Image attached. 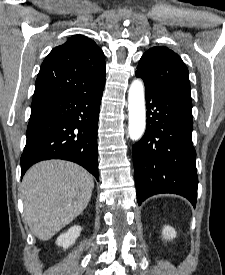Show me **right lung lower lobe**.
<instances>
[{
  "instance_id": "obj_1",
  "label": "right lung lower lobe",
  "mask_w": 225,
  "mask_h": 275,
  "mask_svg": "<svg viewBox=\"0 0 225 275\" xmlns=\"http://www.w3.org/2000/svg\"><path fill=\"white\" fill-rule=\"evenodd\" d=\"M105 76L89 93L61 95L31 105L21 175L47 159L80 164L98 180L97 126Z\"/></svg>"
}]
</instances>
